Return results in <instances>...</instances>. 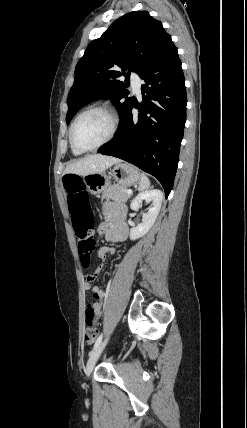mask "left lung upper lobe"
<instances>
[{
  "mask_svg": "<svg viewBox=\"0 0 247 428\" xmlns=\"http://www.w3.org/2000/svg\"><path fill=\"white\" fill-rule=\"evenodd\" d=\"M174 47L161 22L147 11L130 12L117 19L87 46L76 66L67 100V124L82 106L99 99H110L121 116L130 101L129 91L116 78L126 75L124 70H129L128 75L131 71L142 75Z\"/></svg>",
  "mask_w": 247,
  "mask_h": 428,
  "instance_id": "5c2ea615",
  "label": "left lung upper lobe"
}]
</instances>
